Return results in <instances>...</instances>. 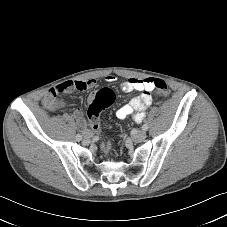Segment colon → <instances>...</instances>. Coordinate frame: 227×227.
I'll list each match as a JSON object with an SVG mask.
<instances>
[{"label":"colon","instance_id":"5ec220e1","mask_svg":"<svg viewBox=\"0 0 227 227\" xmlns=\"http://www.w3.org/2000/svg\"><path fill=\"white\" fill-rule=\"evenodd\" d=\"M154 87L155 89L162 93L166 94L168 92L167 84L161 79H154ZM77 88H83L82 84H77ZM79 90V89H78ZM115 95L113 91L109 88H103L99 90L93 98L90 100L87 114L90 119L91 127L96 134L100 133V124H99V116L100 113L112 105L114 102ZM104 150L107 152L108 148L106 147V143H104Z\"/></svg>","mask_w":227,"mask_h":227}]
</instances>
